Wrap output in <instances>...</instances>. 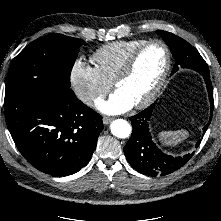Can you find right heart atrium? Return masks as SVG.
<instances>
[{
  "mask_svg": "<svg viewBox=\"0 0 221 221\" xmlns=\"http://www.w3.org/2000/svg\"><path fill=\"white\" fill-rule=\"evenodd\" d=\"M69 79L76 96L89 106L96 104L110 90V82L103 78L97 67L82 59L72 65Z\"/></svg>",
  "mask_w": 221,
  "mask_h": 221,
  "instance_id": "right-heart-atrium-1",
  "label": "right heart atrium"
}]
</instances>
